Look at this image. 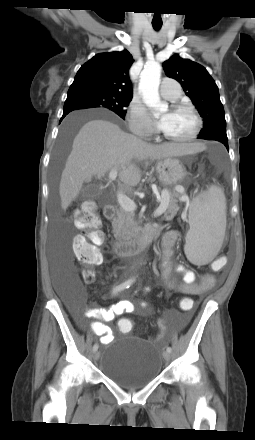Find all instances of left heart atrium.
I'll return each mask as SVG.
<instances>
[{
  "label": "left heart atrium",
  "mask_w": 255,
  "mask_h": 440,
  "mask_svg": "<svg viewBox=\"0 0 255 440\" xmlns=\"http://www.w3.org/2000/svg\"><path fill=\"white\" fill-rule=\"evenodd\" d=\"M156 124L159 129L164 130L167 125V118L161 117L159 120H157Z\"/></svg>",
  "instance_id": "left-heart-atrium-1"
}]
</instances>
